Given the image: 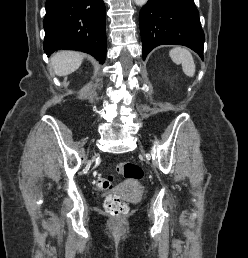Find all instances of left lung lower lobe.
<instances>
[{"label": "left lung lower lobe", "instance_id": "0a47b994", "mask_svg": "<svg viewBox=\"0 0 248 258\" xmlns=\"http://www.w3.org/2000/svg\"><path fill=\"white\" fill-rule=\"evenodd\" d=\"M143 60L155 47L184 45L203 60L204 32L194 0H148L139 14Z\"/></svg>", "mask_w": 248, "mask_h": 258}]
</instances>
